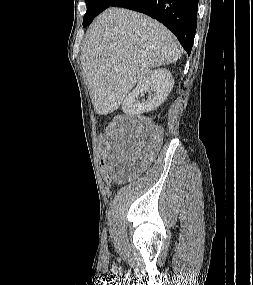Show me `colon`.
<instances>
[{
    "instance_id": "colon-1",
    "label": "colon",
    "mask_w": 253,
    "mask_h": 285,
    "mask_svg": "<svg viewBox=\"0 0 253 285\" xmlns=\"http://www.w3.org/2000/svg\"><path fill=\"white\" fill-rule=\"evenodd\" d=\"M99 140L101 145L100 157L102 160L99 161L100 167H97V172H102L105 180H114V175H109V172H112V161L110 159L111 143H109V140H104L103 136H100Z\"/></svg>"
}]
</instances>
